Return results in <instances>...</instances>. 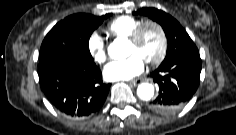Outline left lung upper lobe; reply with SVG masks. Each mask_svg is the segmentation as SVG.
I'll list each match as a JSON object with an SVG mask.
<instances>
[{"label": "left lung upper lobe", "instance_id": "obj_1", "mask_svg": "<svg viewBox=\"0 0 236 135\" xmlns=\"http://www.w3.org/2000/svg\"><path fill=\"white\" fill-rule=\"evenodd\" d=\"M133 14L146 15L162 26L168 42V48L163 62L185 56L191 51L198 50L185 29L169 14L155 8H142L133 12Z\"/></svg>", "mask_w": 236, "mask_h": 135}]
</instances>
